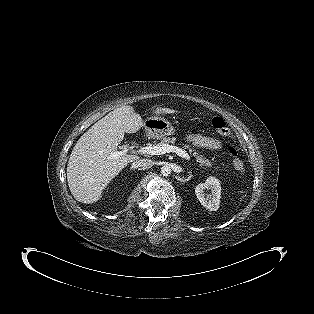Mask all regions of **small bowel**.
Returning a JSON list of instances; mask_svg holds the SVG:
<instances>
[{
	"mask_svg": "<svg viewBox=\"0 0 314 314\" xmlns=\"http://www.w3.org/2000/svg\"><path fill=\"white\" fill-rule=\"evenodd\" d=\"M185 139L197 147L209 150H218L221 148V142L219 140L202 134L187 132Z\"/></svg>",
	"mask_w": 314,
	"mask_h": 314,
	"instance_id": "obj_1",
	"label": "small bowel"
}]
</instances>
